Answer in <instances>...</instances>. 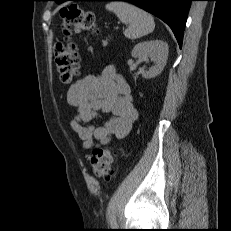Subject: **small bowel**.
I'll list each match as a JSON object with an SVG mask.
<instances>
[{
	"label": "small bowel",
	"mask_w": 231,
	"mask_h": 231,
	"mask_svg": "<svg viewBox=\"0 0 231 231\" xmlns=\"http://www.w3.org/2000/svg\"><path fill=\"white\" fill-rule=\"evenodd\" d=\"M67 102L76 108L71 127L86 150L104 146L112 137L125 138L138 118L130 86L113 65L72 84L67 91ZM100 113H110L111 117L103 125L93 126L91 122Z\"/></svg>",
	"instance_id": "obj_1"
}]
</instances>
